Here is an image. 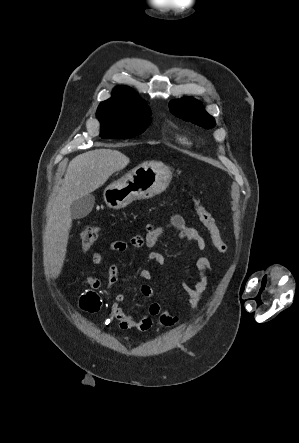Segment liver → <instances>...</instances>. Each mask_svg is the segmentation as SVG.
<instances>
[{
    "label": "liver",
    "instance_id": "liver-1",
    "mask_svg": "<svg viewBox=\"0 0 299 443\" xmlns=\"http://www.w3.org/2000/svg\"><path fill=\"white\" fill-rule=\"evenodd\" d=\"M129 162L126 155L109 148L88 151L70 161L47 218L45 259L54 278L60 275L66 256L72 226L71 203L101 187Z\"/></svg>",
    "mask_w": 299,
    "mask_h": 443
}]
</instances>
